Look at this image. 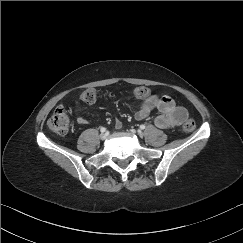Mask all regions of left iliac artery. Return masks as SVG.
Returning a JSON list of instances; mask_svg holds the SVG:
<instances>
[{"instance_id": "44dca946", "label": "left iliac artery", "mask_w": 243, "mask_h": 243, "mask_svg": "<svg viewBox=\"0 0 243 243\" xmlns=\"http://www.w3.org/2000/svg\"><path fill=\"white\" fill-rule=\"evenodd\" d=\"M140 129L144 130L145 129V125H140Z\"/></svg>"}]
</instances>
